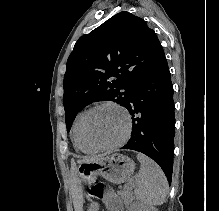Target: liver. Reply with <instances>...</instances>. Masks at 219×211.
<instances>
[{
  "instance_id": "1",
  "label": "liver",
  "mask_w": 219,
  "mask_h": 211,
  "mask_svg": "<svg viewBox=\"0 0 219 211\" xmlns=\"http://www.w3.org/2000/svg\"><path fill=\"white\" fill-rule=\"evenodd\" d=\"M91 159H94V157H91ZM72 165H73V167H74V165H75L74 159H72ZM74 203H75V199H74ZM75 205H76V203H75Z\"/></svg>"
}]
</instances>
